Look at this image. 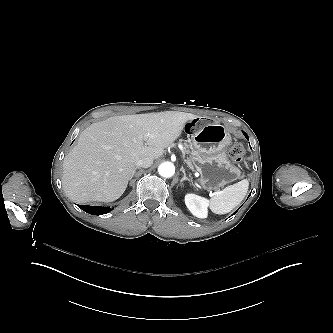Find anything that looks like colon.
<instances>
[{
	"instance_id": "colon-1",
	"label": "colon",
	"mask_w": 333,
	"mask_h": 333,
	"mask_svg": "<svg viewBox=\"0 0 333 333\" xmlns=\"http://www.w3.org/2000/svg\"><path fill=\"white\" fill-rule=\"evenodd\" d=\"M244 152L245 150L243 146L240 143L235 142L232 144L229 150V155L233 160L240 161L242 159Z\"/></svg>"
}]
</instances>
